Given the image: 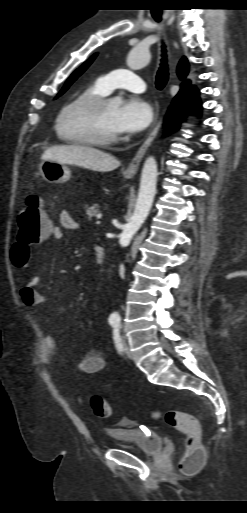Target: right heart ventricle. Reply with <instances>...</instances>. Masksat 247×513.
I'll use <instances>...</instances> for the list:
<instances>
[{"label": "right heart ventricle", "mask_w": 247, "mask_h": 513, "mask_svg": "<svg viewBox=\"0 0 247 513\" xmlns=\"http://www.w3.org/2000/svg\"><path fill=\"white\" fill-rule=\"evenodd\" d=\"M107 93L104 92L100 86L98 85V83H94L88 87H86L84 90H82L71 102H74L80 98H83V97H86V96H92V95H99V96H104L106 95ZM70 102V103H71ZM58 135L59 137L66 141V142H70V143H77L75 141H73L72 139L68 138L65 134L61 133L58 131Z\"/></svg>", "instance_id": "e07e8e85"}]
</instances>
